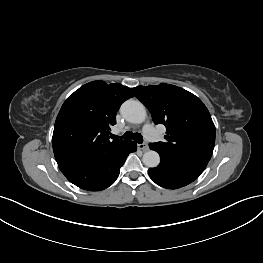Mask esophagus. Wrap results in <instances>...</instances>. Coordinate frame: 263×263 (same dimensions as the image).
<instances>
[{"label":"esophagus","instance_id":"esophagus-1","mask_svg":"<svg viewBox=\"0 0 263 263\" xmlns=\"http://www.w3.org/2000/svg\"><path fill=\"white\" fill-rule=\"evenodd\" d=\"M137 148L139 149V150H142L143 152H146V151H148V146L146 145V144H144V143H141V144H137Z\"/></svg>","mask_w":263,"mask_h":263}]
</instances>
